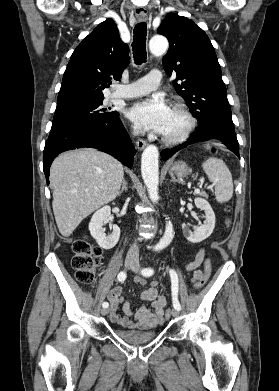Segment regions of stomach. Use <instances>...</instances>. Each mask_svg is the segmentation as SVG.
Masks as SVG:
<instances>
[{
	"label": "stomach",
	"instance_id": "0dacf381",
	"mask_svg": "<svg viewBox=\"0 0 279 391\" xmlns=\"http://www.w3.org/2000/svg\"><path fill=\"white\" fill-rule=\"evenodd\" d=\"M169 172L171 175H176L177 177L182 178L189 174L190 169L185 162H176L170 168Z\"/></svg>",
	"mask_w": 279,
	"mask_h": 391
}]
</instances>
